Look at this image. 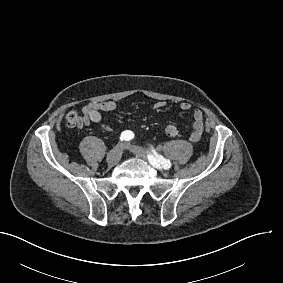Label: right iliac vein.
Listing matches in <instances>:
<instances>
[{"label": "right iliac vein", "instance_id": "obj_1", "mask_svg": "<svg viewBox=\"0 0 283 283\" xmlns=\"http://www.w3.org/2000/svg\"><path fill=\"white\" fill-rule=\"evenodd\" d=\"M122 148L123 147H116L108 153L106 158L108 166H114L119 163L122 155Z\"/></svg>", "mask_w": 283, "mask_h": 283}]
</instances>
